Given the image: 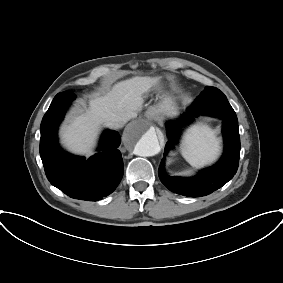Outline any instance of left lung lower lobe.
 <instances>
[{"mask_svg":"<svg viewBox=\"0 0 283 283\" xmlns=\"http://www.w3.org/2000/svg\"><path fill=\"white\" fill-rule=\"evenodd\" d=\"M184 114L185 119L192 116L209 115L223 121L224 153L214 166L204 169L194 177L170 176L164 169L165 157L161 160L158 175L162 183L172 192L188 197L205 196L225 185L233 178L238 169L240 157V137L236 113L228 100H213L202 92ZM170 141L165 146L164 156L173 148L176 141V128L172 123L167 125Z\"/></svg>","mask_w":283,"mask_h":283,"instance_id":"1","label":"left lung lower lobe"}]
</instances>
